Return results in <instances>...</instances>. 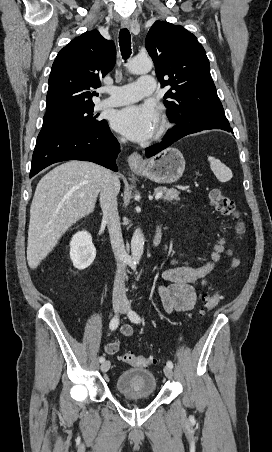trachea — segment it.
I'll use <instances>...</instances> for the list:
<instances>
[{"label":"trachea","instance_id":"obj_1","mask_svg":"<svg viewBox=\"0 0 272 452\" xmlns=\"http://www.w3.org/2000/svg\"><path fill=\"white\" fill-rule=\"evenodd\" d=\"M119 45L123 59L127 60L131 55V36L126 28L120 30Z\"/></svg>","mask_w":272,"mask_h":452}]
</instances>
